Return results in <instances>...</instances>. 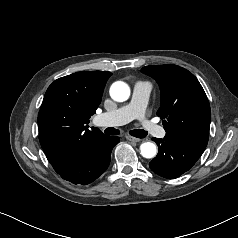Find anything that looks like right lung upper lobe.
Returning a JSON list of instances; mask_svg holds the SVG:
<instances>
[{
  "mask_svg": "<svg viewBox=\"0 0 238 238\" xmlns=\"http://www.w3.org/2000/svg\"><path fill=\"white\" fill-rule=\"evenodd\" d=\"M109 71H81L55 80L47 89L38 114L39 141L53 164L68 157L85 139L103 134L88 129L101 102Z\"/></svg>",
  "mask_w": 238,
  "mask_h": 238,
  "instance_id": "obj_1",
  "label": "right lung upper lobe"
}]
</instances>
